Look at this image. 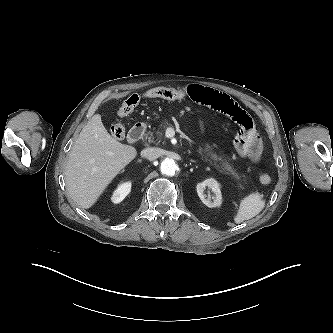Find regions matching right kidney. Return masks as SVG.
<instances>
[{
    "label": "right kidney",
    "instance_id": "right-kidney-1",
    "mask_svg": "<svg viewBox=\"0 0 333 333\" xmlns=\"http://www.w3.org/2000/svg\"><path fill=\"white\" fill-rule=\"evenodd\" d=\"M130 190H131L130 182L120 184L111 197L112 202L114 203L121 202L129 194Z\"/></svg>",
    "mask_w": 333,
    "mask_h": 333
}]
</instances>
